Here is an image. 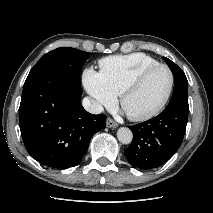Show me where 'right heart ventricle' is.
Listing matches in <instances>:
<instances>
[{"label": "right heart ventricle", "mask_w": 213, "mask_h": 213, "mask_svg": "<svg viewBox=\"0 0 213 213\" xmlns=\"http://www.w3.org/2000/svg\"><path fill=\"white\" fill-rule=\"evenodd\" d=\"M158 62L143 53L115 55L99 61L100 73L106 86L114 95H119L123 87L141 70Z\"/></svg>", "instance_id": "e07e8e85"}]
</instances>
